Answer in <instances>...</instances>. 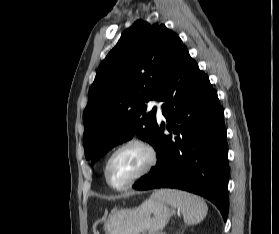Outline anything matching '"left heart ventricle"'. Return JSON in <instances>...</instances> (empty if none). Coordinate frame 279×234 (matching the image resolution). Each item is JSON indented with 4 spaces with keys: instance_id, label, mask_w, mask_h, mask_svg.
<instances>
[{
    "instance_id": "b2bd125f",
    "label": "left heart ventricle",
    "mask_w": 279,
    "mask_h": 234,
    "mask_svg": "<svg viewBox=\"0 0 279 234\" xmlns=\"http://www.w3.org/2000/svg\"><path fill=\"white\" fill-rule=\"evenodd\" d=\"M146 154L139 147H128L118 153L109 167V178L115 185H121L135 176L146 163Z\"/></svg>"
}]
</instances>
